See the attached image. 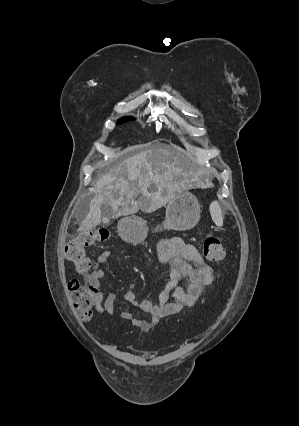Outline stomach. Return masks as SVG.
Wrapping results in <instances>:
<instances>
[{
  "label": "stomach",
  "mask_w": 299,
  "mask_h": 426,
  "mask_svg": "<svg viewBox=\"0 0 299 426\" xmlns=\"http://www.w3.org/2000/svg\"><path fill=\"white\" fill-rule=\"evenodd\" d=\"M200 212V204L192 193L179 192L169 200L165 220L157 229L189 230L199 222ZM147 231L146 222L141 218L130 217L123 220L122 235L129 242H142L147 236Z\"/></svg>",
  "instance_id": "obj_1"
}]
</instances>
